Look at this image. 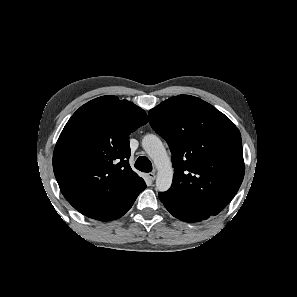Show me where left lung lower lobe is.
Here are the masks:
<instances>
[{
	"mask_svg": "<svg viewBox=\"0 0 297 297\" xmlns=\"http://www.w3.org/2000/svg\"><path fill=\"white\" fill-rule=\"evenodd\" d=\"M161 202L165 205V207L167 208V210L176 218L185 221V222H189V223H193V222H200L203 219L194 216L186 211H184L183 209H181L178 205H176L171 198L166 195L164 192H160L158 194Z\"/></svg>",
	"mask_w": 297,
	"mask_h": 297,
	"instance_id": "1",
	"label": "left lung lower lobe"
}]
</instances>
